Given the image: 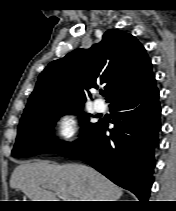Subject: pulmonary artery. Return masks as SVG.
<instances>
[{
    "instance_id": "obj_1",
    "label": "pulmonary artery",
    "mask_w": 176,
    "mask_h": 211,
    "mask_svg": "<svg viewBox=\"0 0 176 211\" xmlns=\"http://www.w3.org/2000/svg\"><path fill=\"white\" fill-rule=\"evenodd\" d=\"M94 108L97 112H103L106 109V105L101 99H96L94 102Z\"/></svg>"
}]
</instances>
